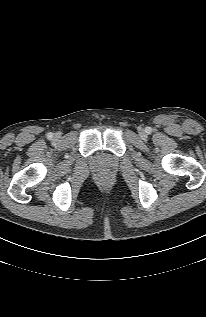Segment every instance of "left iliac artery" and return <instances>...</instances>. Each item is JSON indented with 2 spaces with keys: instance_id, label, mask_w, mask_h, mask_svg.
Segmentation results:
<instances>
[{
  "instance_id": "obj_1",
  "label": "left iliac artery",
  "mask_w": 206,
  "mask_h": 317,
  "mask_svg": "<svg viewBox=\"0 0 206 317\" xmlns=\"http://www.w3.org/2000/svg\"><path fill=\"white\" fill-rule=\"evenodd\" d=\"M150 131H151L150 129L147 130L148 133H150Z\"/></svg>"
}]
</instances>
